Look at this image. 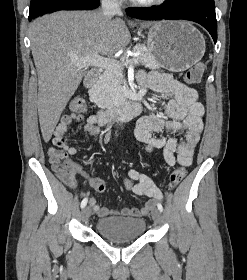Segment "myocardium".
Segmentation results:
<instances>
[{
  "instance_id": "myocardium-1",
  "label": "myocardium",
  "mask_w": 247,
  "mask_h": 280,
  "mask_svg": "<svg viewBox=\"0 0 247 280\" xmlns=\"http://www.w3.org/2000/svg\"><path fill=\"white\" fill-rule=\"evenodd\" d=\"M130 2L133 5L139 6V7H154V6H158V5L165 3L166 0H145V1L130 0Z\"/></svg>"
}]
</instances>
